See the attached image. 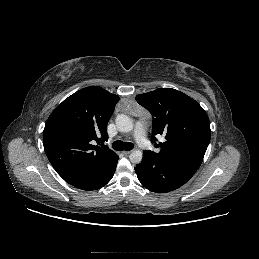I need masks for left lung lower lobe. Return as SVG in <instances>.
Instances as JSON below:
<instances>
[{
  "label": "left lung lower lobe",
  "instance_id": "obj_1",
  "mask_svg": "<svg viewBox=\"0 0 259 259\" xmlns=\"http://www.w3.org/2000/svg\"><path fill=\"white\" fill-rule=\"evenodd\" d=\"M197 170L169 160L153 156L144 151L143 160L135 167L141 184L148 190L164 193L185 184Z\"/></svg>",
  "mask_w": 259,
  "mask_h": 259
}]
</instances>
